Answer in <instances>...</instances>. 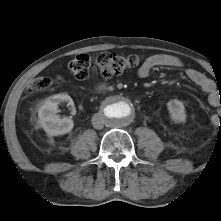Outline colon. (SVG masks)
Segmentation results:
<instances>
[{"mask_svg":"<svg viewBox=\"0 0 221 221\" xmlns=\"http://www.w3.org/2000/svg\"><path fill=\"white\" fill-rule=\"evenodd\" d=\"M140 57L136 54L121 56L110 52H100L96 55L80 54L69 62V69L80 80L88 79L99 74L104 78L130 71L138 66ZM60 79L49 77L36 78L27 89L28 94H33L50 87ZM213 121L221 126V111L213 116Z\"/></svg>","mask_w":221,"mask_h":221,"instance_id":"obj_1","label":"colon"}]
</instances>
